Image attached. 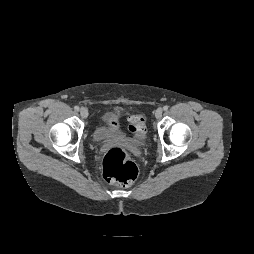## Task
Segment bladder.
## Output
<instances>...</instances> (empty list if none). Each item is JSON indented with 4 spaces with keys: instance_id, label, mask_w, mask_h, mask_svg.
Segmentation results:
<instances>
[{
    "instance_id": "bladder-1",
    "label": "bladder",
    "mask_w": 254,
    "mask_h": 254,
    "mask_svg": "<svg viewBox=\"0 0 254 254\" xmlns=\"http://www.w3.org/2000/svg\"><path fill=\"white\" fill-rule=\"evenodd\" d=\"M126 134L121 129H112L106 126H97L94 130L93 137L96 141H105L110 138L124 137Z\"/></svg>"
}]
</instances>
